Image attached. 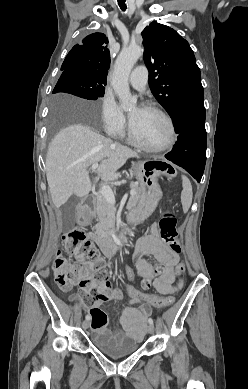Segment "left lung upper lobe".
<instances>
[{
  "instance_id": "left-lung-upper-lobe-1",
  "label": "left lung upper lobe",
  "mask_w": 248,
  "mask_h": 389,
  "mask_svg": "<svg viewBox=\"0 0 248 389\" xmlns=\"http://www.w3.org/2000/svg\"><path fill=\"white\" fill-rule=\"evenodd\" d=\"M151 92L168 112L203 95L200 69L189 43L172 28L153 21L142 31Z\"/></svg>"
}]
</instances>
